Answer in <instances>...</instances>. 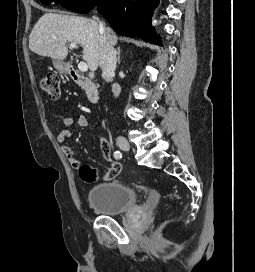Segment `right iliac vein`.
Wrapping results in <instances>:
<instances>
[{"instance_id":"obj_1","label":"right iliac vein","mask_w":255,"mask_h":272,"mask_svg":"<svg viewBox=\"0 0 255 272\" xmlns=\"http://www.w3.org/2000/svg\"><path fill=\"white\" fill-rule=\"evenodd\" d=\"M117 143H118V146L124 151H128L130 149V144L128 140L123 136L118 137Z\"/></svg>"}]
</instances>
